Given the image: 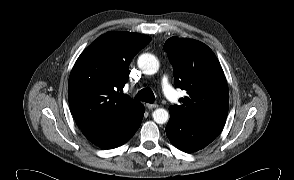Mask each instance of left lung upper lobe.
I'll return each mask as SVG.
<instances>
[{
	"instance_id": "obj_1",
	"label": "left lung upper lobe",
	"mask_w": 294,
	"mask_h": 180,
	"mask_svg": "<svg viewBox=\"0 0 294 180\" xmlns=\"http://www.w3.org/2000/svg\"><path fill=\"white\" fill-rule=\"evenodd\" d=\"M164 49L174 68L175 86L187 92L181 105L169 109L188 120L225 121L228 85L213 51L202 42L177 37L168 39Z\"/></svg>"
}]
</instances>
